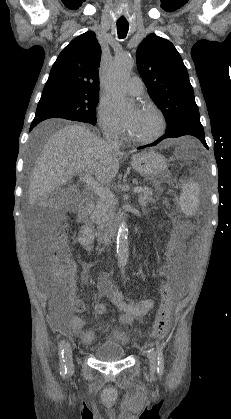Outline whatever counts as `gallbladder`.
<instances>
[{"mask_svg": "<svg viewBox=\"0 0 231 419\" xmlns=\"http://www.w3.org/2000/svg\"><path fill=\"white\" fill-rule=\"evenodd\" d=\"M62 194H63V190L62 189H57L56 191L48 194L45 198V204L48 205L49 207H54L58 204V202L60 200H62Z\"/></svg>", "mask_w": 231, "mask_h": 419, "instance_id": "bac80fb5", "label": "gallbladder"}]
</instances>
